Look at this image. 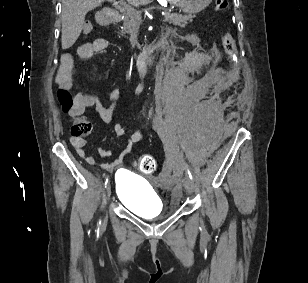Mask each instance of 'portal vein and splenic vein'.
<instances>
[{
    "mask_svg": "<svg viewBox=\"0 0 308 283\" xmlns=\"http://www.w3.org/2000/svg\"><path fill=\"white\" fill-rule=\"evenodd\" d=\"M109 1H114V0H109ZM127 1H128V0H127ZM128 2H129V1H128ZM116 4H119V5L122 6L123 9H125V10L135 11V10H133V8H132L130 5L126 4L124 0H119L118 2H116ZM162 14H163L164 16L170 15L169 12H162Z\"/></svg>",
    "mask_w": 308,
    "mask_h": 283,
    "instance_id": "portal-vein-and-splenic-vein-1",
    "label": "portal vein and splenic vein"
}]
</instances>
